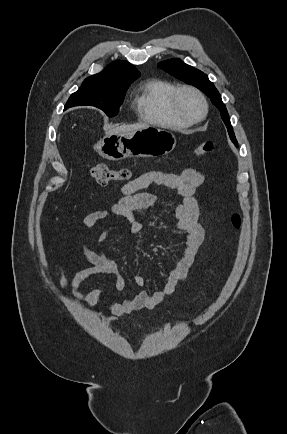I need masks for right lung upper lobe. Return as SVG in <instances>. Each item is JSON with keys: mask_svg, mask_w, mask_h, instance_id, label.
Masks as SVG:
<instances>
[{"mask_svg": "<svg viewBox=\"0 0 287 434\" xmlns=\"http://www.w3.org/2000/svg\"><path fill=\"white\" fill-rule=\"evenodd\" d=\"M140 76V72L129 62L115 61L109 64L103 71L92 75L86 80H108L110 82H130Z\"/></svg>", "mask_w": 287, "mask_h": 434, "instance_id": "right-lung-upper-lobe-1", "label": "right lung upper lobe"}]
</instances>
